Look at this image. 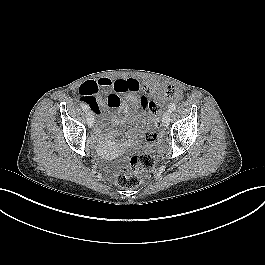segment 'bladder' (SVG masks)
<instances>
[{"instance_id": "obj_1", "label": "bladder", "mask_w": 265, "mask_h": 265, "mask_svg": "<svg viewBox=\"0 0 265 265\" xmlns=\"http://www.w3.org/2000/svg\"><path fill=\"white\" fill-rule=\"evenodd\" d=\"M126 125L142 130L153 128L155 126V119L147 110V106L142 96H138L133 114L129 119H127Z\"/></svg>"}]
</instances>
